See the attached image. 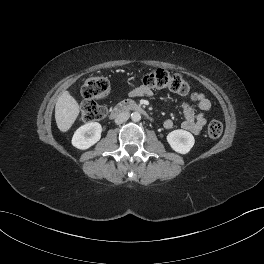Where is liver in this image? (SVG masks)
<instances>
[{"instance_id":"1","label":"liver","mask_w":264,"mask_h":264,"mask_svg":"<svg viewBox=\"0 0 264 264\" xmlns=\"http://www.w3.org/2000/svg\"><path fill=\"white\" fill-rule=\"evenodd\" d=\"M80 112L79 104L68 91H64L57 99L55 120L61 132L68 131Z\"/></svg>"}]
</instances>
